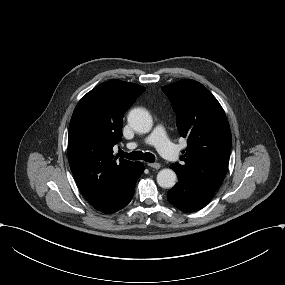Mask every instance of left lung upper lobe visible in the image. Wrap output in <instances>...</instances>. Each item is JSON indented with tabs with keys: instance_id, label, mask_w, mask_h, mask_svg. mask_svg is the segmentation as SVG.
Wrapping results in <instances>:
<instances>
[{
	"instance_id": "obj_1",
	"label": "left lung upper lobe",
	"mask_w": 285,
	"mask_h": 285,
	"mask_svg": "<svg viewBox=\"0 0 285 285\" xmlns=\"http://www.w3.org/2000/svg\"><path fill=\"white\" fill-rule=\"evenodd\" d=\"M177 114V127L188 146L174 171L198 185L216 191L225 178L232 136L225 112L199 82L180 80L162 87Z\"/></svg>"
}]
</instances>
